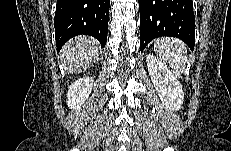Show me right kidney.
I'll use <instances>...</instances> for the list:
<instances>
[{
	"instance_id": "obj_1",
	"label": "right kidney",
	"mask_w": 231,
	"mask_h": 151,
	"mask_svg": "<svg viewBox=\"0 0 231 151\" xmlns=\"http://www.w3.org/2000/svg\"><path fill=\"white\" fill-rule=\"evenodd\" d=\"M94 79L85 76L73 82L67 92V105L71 109H78L89 97Z\"/></svg>"
}]
</instances>
